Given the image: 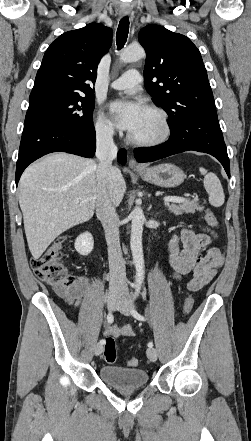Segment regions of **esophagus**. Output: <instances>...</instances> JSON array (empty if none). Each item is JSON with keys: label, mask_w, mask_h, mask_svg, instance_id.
I'll list each match as a JSON object with an SVG mask.
<instances>
[{"label": "esophagus", "mask_w": 251, "mask_h": 441, "mask_svg": "<svg viewBox=\"0 0 251 441\" xmlns=\"http://www.w3.org/2000/svg\"><path fill=\"white\" fill-rule=\"evenodd\" d=\"M128 14H130L129 8H125V7L121 8V10H120L121 16H126ZM129 167L132 169H140V168H142V165H140L135 159L130 158L129 159Z\"/></svg>", "instance_id": "1"}]
</instances>
